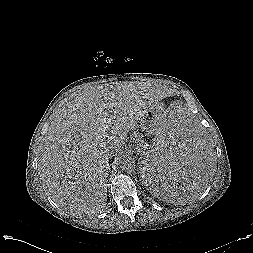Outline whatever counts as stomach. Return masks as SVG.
<instances>
[{"mask_svg":"<svg viewBox=\"0 0 253 253\" xmlns=\"http://www.w3.org/2000/svg\"><path fill=\"white\" fill-rule=\"evenodd\" d=\"M165 116L166 112L164 109L155 105L142 117L141 129L147 136H153L157 131L161 130V124Z\"/></svg>","mask_w":253,"mask_h":253,"instance_id":"stomach-1","label":"stomach"}]
</instances>
